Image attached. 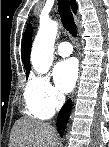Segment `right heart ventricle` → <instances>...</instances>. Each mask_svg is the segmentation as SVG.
Segmentation results:
<instances>
[{
  "label": "right heart ventricle",
  "instance_id": "1",
  "mask_svg": "<svg viewBox=\"0 0 109 147\" xmlns=\"http://www.w3.org/2000/svg\"><path fill=\"white\" fill-rule=\"evenodd\" d=\"M26 109L29 115L35 118L44 119L51 115L43 111L39 106L30 101L28 98L25 101Z\"/></svg>",
  "mask_w": 109,
  "mask_h": 147
}]
</instances>
